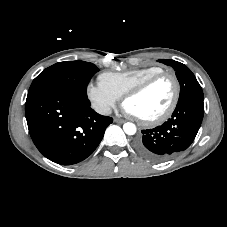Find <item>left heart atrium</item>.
<instances>
[{
    "label": "left heart atrium",
    "mask_w": 227,
    "mask_h": 227,
    "mask_svg": "<svg viewBox=\"0 0 227 227\" xmlns=\"http://www.w3.org/2000/svg\"><path fill=\"white\" fill-rule=\"evenodd\" d=\"M123 110L129 115L136 116L135 112L125 104L123 105Z\"/></svg>",
    "instance_id": "left-heart-atrium-1"
}]
</instances>
